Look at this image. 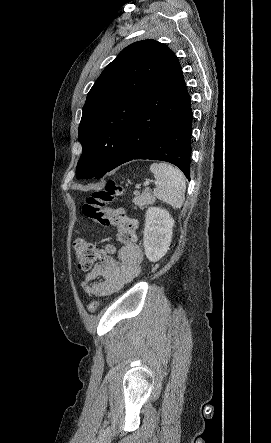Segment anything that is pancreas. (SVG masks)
I'll return each mask as SVG.
<instances>
[{
    "instance_id": "cf45deb5",
    "label": "pancreas",
    "mask_w": 271,
    "mask_h": 443,
    "mask_svg": "<svg viewBox=\"0 0 271 443\" xmlns=\"http://www.w3.org/2000/svg\"><path fill=\"white\" fill-rule=\"evenodd\" d=\"M155 198L153 194H150L149 190H146V192H143L141 196L139 194H136L135 198H133V204L135 206H138L140 210H144V208H147L149 204H154Z\"/></svg>"
}]
</instances>
